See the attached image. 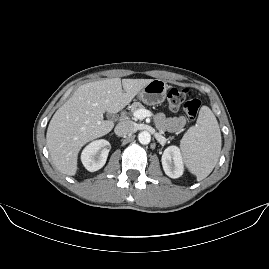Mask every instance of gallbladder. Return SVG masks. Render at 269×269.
<instances>
[{
	"label": "gallbladder",
	"instance_id": "gallbladder-1",
	"mask_svg": "<svg viewBox=\"0 0 269 269\" xmlns=\"http://www.w3.org/2000/svg\"><path fill=\"white\" fill-rule=\"evenodd\" d=\"M106 117H107L108 119H110V118L112 117V115L109 114V113H106Z\"/></svg>",
	"mask_w": 269,
	"mask_h": 269
}]
</instances>
